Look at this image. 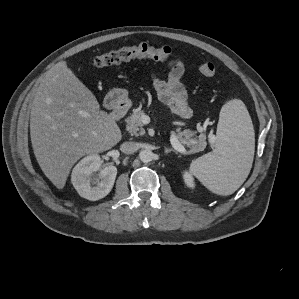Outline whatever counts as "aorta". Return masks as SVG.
Masks as SVG:
<instances>
[{
    "label": "aorta",
    "mask_w": 299,
    "mask_h": 299,
    "mask_svg": "<svg viewBox=\"0 0 299 299\" xmlns=\"http://www.w3.org/2000/svg\"><path fill=\"white\" fill-rule=\"evenodd\" d=\"M139 158L142 162L148 163L154 159V153L151 150L145 149L140 151Z\"/></svg>",
    "instance_id": "1"
}]
</instances>
